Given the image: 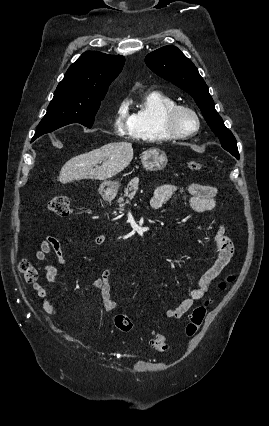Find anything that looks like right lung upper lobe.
I'll return each mask as SVG.
<instances>
[{"label": "right lung upper lobe", "instance_id": "obj_1", "mask_svg": "<svg viewBox=\"0 0 269 426\" xmlns=\"http://www.w3.org/2000/svg\"><path fill=\"white\" fill-rule=\"evenodd\" d=\"M124 62L123 56L87 51L69 67L54 94L72 99L105 96L108 86L121 72Z\"/></svg>", "mask_w": 269, "mask_h": 426}]
</instances>
